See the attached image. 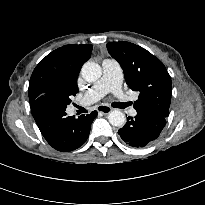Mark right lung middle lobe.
I'll return each instance as SVG.
<instances>
[{
	"instance_id": "obj_1",
	"label": "right lung middle lobe",
	"mask_w": 205,
	"mask_h": 205,
	"mask_svg": "<svg viewBox=\"0 0 205 205\" xmlns=\"http://www.w3.org/2000/svg\"><path fill=\"white\" fill-rule=\"evenodd\" d=\"M78 92V88L76 84H73L72 82H69L68 88L65 89L62 93H60L65 98V104H70L71 102V96H75Z\"/></svg>"
}]
</instances>
